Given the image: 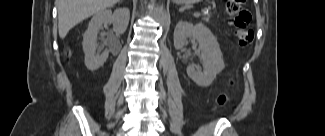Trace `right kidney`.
<instances>
[{
    "instance_id": "ca27d5eb",
    "label": "right kidney",
    "mask_w": 325,
    "mask_h": 136,
    "mask_svg": "<svg viewBox=\"0 0 325 136\" xmlns=\"http://www.w3.org/2000/svg\"><path fill=\"white\" fill-rule=\"evenodd\" d=\"M130 12L127 8L116 9L113 13L110 9L96 13L89 22L88 29L83 35V51L85 54V65L90 71L99 69L108 58L109 51L97 50V35L100 28L113 22L116 34H123L128 26Z\"/></svg>"
}]
</instances>
